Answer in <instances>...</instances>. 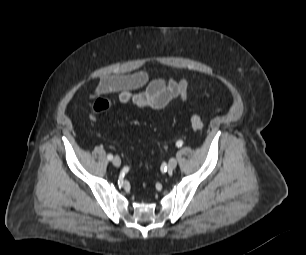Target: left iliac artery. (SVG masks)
Listing matches in <instances>:
<instances>
[{
	"label": "left iliac artery",
	"instance_id": "left-iliac-artery-1",
	"mask_svg": "<svg viewBox=\"0 0 306 255\" xmlns=\"http://www.w3.org/2000/svg\"><path fill=\"white\" fill-rule=\"evenodd\" d=\"M183 145V141L182 140H178L177 142H176V146L177 147H181Z\"/></svg>",
	"mask_w": 306,
	"mask_h": 255
}]
</instances>
